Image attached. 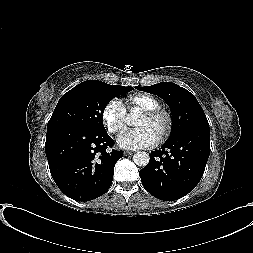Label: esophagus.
Listing matches in <instances>:
<instances>
[{"label":"esophagus","instance_id":"obj_1","mask_svg":"<svg viewBox=\"0 0 253 253\" xmlns=\"http://www.w3.org/2000/svg\"><path fill=\"white\" fill-rule=\"evenodd\" d=\"M134 152L133 151H125L124 154L125 155H132Z\"/></svg>","mask_w":253,"mask_h":253}]
</instances>
